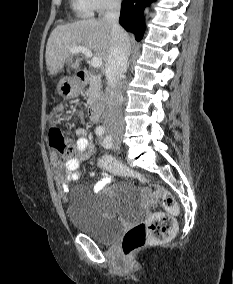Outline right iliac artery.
I'll use <instances>...</instances> for the list:
<instances>
[{
    "mask_svg": "<svg viewBox=\"0 0 233 284\" xmlns=\"http://www.w3.org/2000/svg\"><path fill=\"white\" fill-rule=\"evenodd\" d=\"M105 132V128L102 127V126H98L96 129H95V133L98 135V136H102Z\"/></svg>",
    "mask_w": 233,
    "mask_h": 284,
    "instance_id": "82829eb1",
    "label": "right iliac artery"
}]
</instances>
